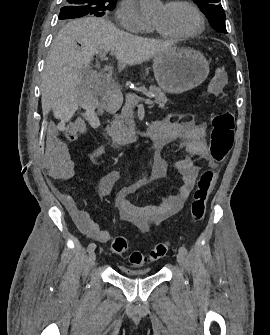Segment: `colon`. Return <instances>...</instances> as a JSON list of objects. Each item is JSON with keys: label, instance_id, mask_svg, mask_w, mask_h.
Wrapping results in <instances>:
<instances>
[{"label": "colon", "instance_id": "obj_1", "mask_svg": "<svg viewBox=\"0 0 270 335\" xmlns=\"http://www.w3.org/2000/svg\"><path fill=\"white\" fill-rule=\"evenodd\" d=\"M227 83L226 70L217 68L209 80L207 92L210 95H219ZM234 143V115L229 110L218 112L212 118V130L210 140V158L216 164L225 161ZM217 179V169L209 167L203 170L197 187L194 191L188 220L191 224H199L205 216L207 196ZM111 249L118 255H123L128 250L125 236H115L111 241ZM170 246L167 243L156 244L147 253L133 251L129 255V262L134 266H142L156 261L167 255Z\"/></svg>", "mask_w": 270, "mask_h": 335}]
</instances>
